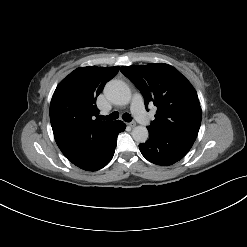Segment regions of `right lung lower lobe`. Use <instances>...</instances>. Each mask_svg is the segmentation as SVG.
Wrapping results in <instances>:
<instances>
[{
    "label": "right lung lower lobe",
    "instance_id": "obj_1",
    "mask_svg": "<svg viewBox=\"0 0 247 247\" xmlns=\"http://www.w3.org/2000/svg\"><path fill=\"white\" fill-rule=\"evenodd\" d=\"M125 127L126 125L118 120L96 131L89 139L84 152L69 161L86 171H97L105 167L113 158L117 136Z\"/></svg>",
    "mask_w": 247,
    "mask_h": 247
}]
</instances>
